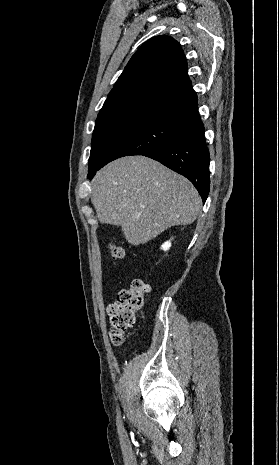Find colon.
Wrapping results in <instances>:
<instances>
[{
  "label": "colon",
  "mask_w": 279,
  "mask_h": 465,
  "mask_svg": "<svg viewBox=\"0 0 279 465\" xmlns=\"http://www.w3.org/2000/svg\"><path fill=\"white\" fill-rule=\"evenodd\" d=\"M109 252L113 261L121 259L125 255L124 249L116 244L109 245ZM149 289L148 284L136 279L127 289L121 290L116 301L109 305L110 338L115 346L124 343L126 331L135 325L137 312L142 309L144 297Z\"/></svg>",
  "instance_id": "1"
}]
</instances>
